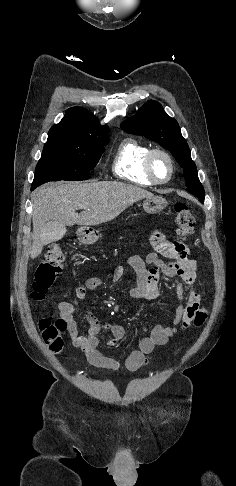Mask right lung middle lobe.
I'll use <instances>...</instances> for the list:
<instances>
[{
  "instance_id": "1",
  "label": "right lung middle lobe",
  "mask_w": 236,
  "mask_h": 486,
  "mask_svg": "<svg viewBox=\"0 0 236 486\" xmlns=\"http://www.w3.org/2000/svg\"><path fill=\"white\" fill-rule=\"evenodd\" d=\"M108 138L97 142L67 136H49L37 164L32 189L59 180L80 181L90 178Z\"/></svg>"
}]
</instances>
